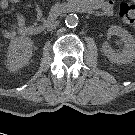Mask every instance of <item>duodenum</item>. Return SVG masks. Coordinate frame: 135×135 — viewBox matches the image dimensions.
Segmentation results:
<instances>
[{
    "label": "duodenum",
    "instance_id": "410a0bca",
    "mask_svg": "<svg viewBox=\"0 0 135 135\" xmlns=\"http://www.w3.org/2000/svg\"><path fill=\"white\" fill-rule=\"evenodd\" d=\"M67 9L68 10H74V11H79L83 13H88L90 12V8L87 6L86 3L78 1V0H70L67 2ZM43 32V28L38 26L32 29H26L27 34H33V35H39Z\"/></svg>",
    "mask_w": 135,
    "mask_h": 135
}]
</instances>
